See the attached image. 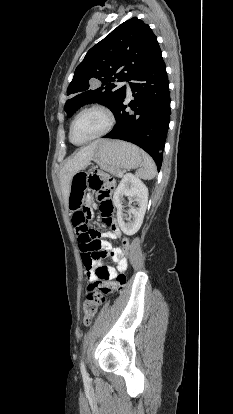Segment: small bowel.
Segmentation results:
<instances>
[{
    "instance_id": "small-bowel-1",
    "label": "small bowel",
    "mask_w": 233,
    "mask_h": 414,
    "mask_svg": "<svg viewBox=\"0 0 233 414\" xmlns=\"http://www.w3.org/2000/svg\"><path fill=\"white\" fill-rule=\"evenodd\" d=\"M88 204H92V196L88 197ZM90 210V209H89ZM105 224L109 227V230L105 233H103L104 237L110 238V239H118L121 237L122 233L121 230L116 222V220L110 215L105 221ZM78 233V232H77ZM79 236V234H78ZM103 250H104V256L102 258H109L113 262L116 263V267L113 266H103L101 262L96 260L92 267L87 271V279L89 282L93 283L98 280V276L96 274V270L99 267H105L107 269V279H114L117 278V276L127 270L128 262L127 260H119L115 257L114 252H116L119 248L113 247L110 243H104L102 242ZM81 249V248H80ZM114 283V282H111Z\"/></svg>"
}]
</instances>
